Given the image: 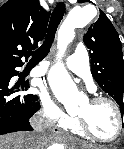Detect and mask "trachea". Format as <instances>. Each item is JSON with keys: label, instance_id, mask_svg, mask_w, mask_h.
Here are the masks:
<instances>
[{"label": "trachea", "instance_id": "obj_1", "mask_svg": "<svg viewBox=\"0 0 124 149\" xmlns=\"http://www.w3.org/2000/svg\"><path fill=\"white\" fill-rule=\"evenodd\" d=\"M64 13H65V4L63 2H60L56 5L54 11L51 14L50 22L48 25V32L46 35L47 43H51L53 41L58 25L63 19ZM35 60L36 58L34 57L30 62H33Z\"/></svg>", "mask_w": 124, "mask_h": 149}]
</instances>
